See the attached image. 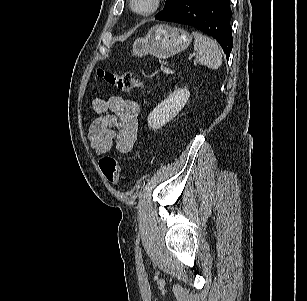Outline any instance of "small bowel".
<instances>
[{
    "instance_id": "1",
    "label": "small bowel",
    "mask_w": 307,
    "mask_h": 301,
    "mask_svg": "<svg viewBox=\"0 0 307 301\" xmlns=\"http://www.w3.org/2000/svg\"><path fill=\"white\" fill-rule=\"evenodd\" d=\"M89 141L97 155L109 154L113 146L122 154L131 152L138 137L139 104L121 96L95 98Z\"/></svg>"
}]
</instances>
